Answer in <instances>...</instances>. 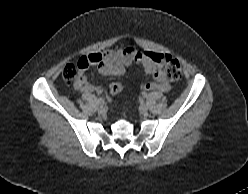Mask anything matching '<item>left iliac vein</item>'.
Listing matches in <instances>:
<instances>
[{"mask_svg":"<svg viewBox=\"0 0 248 194\" xmlns=\"http://www.w3.org/2000/svg\"><path fill=\"white\" fill-rule=\"evenodd\" d=\"M139 111H140L142 114H144V115L147 114V113H148V107H147V105H145V104L140 105Z\"/></svg>","mask_w":248,"mask_h":194,"instance_id":"left-iliac-vein-1","label":"left iliac vein"}]
</instances>
